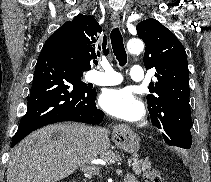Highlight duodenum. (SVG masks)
Wrapping results in <instances>:
<instances>
[{
    "label": "duodenum",
    "instance_id": "obj_1",
    "mask_svg": "<svg viewBox=\"0 0 211 182\" xmlns=\"http://www.w3.org/2000/svg\"><path fill=\"white\" fill-rule=\"evenodd\" d=\"M71 182H77V181L73 180V181H71Z\"/></svg>",
    "mask_w": 211,
    "mask_h": 182
}]
</instances>
